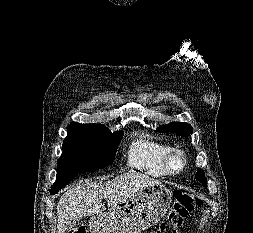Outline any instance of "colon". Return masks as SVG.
<instances>
[{"label": "colon", "mask_w": 253, "mask_h": 233, "mask_svg": "<svg viewBox=\"0 0 253 233\" xmlns=\"http://www.w3.org/2000/svg\"><path fill=\"white\" fill-rule=\"evenodd\" d=\"M202 203L203 201L199 196L182 190H175L174 202L170 212L157 229L151 233H180V228L185 219ZM69 233H86V231L83 225H74L70 228Z\"/></svg>", "instance_id": "1"}]
</instances>
